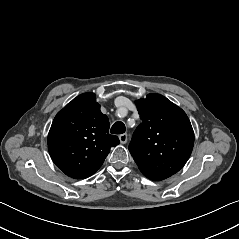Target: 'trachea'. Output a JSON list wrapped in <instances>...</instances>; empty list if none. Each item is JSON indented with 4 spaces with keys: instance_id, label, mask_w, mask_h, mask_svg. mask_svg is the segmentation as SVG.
Returning a JSON list of instances; mask_svg holds the SVG:
<instances>
[{
    "instance_id": "trachea-1",
    "label": "trachea",
    "mask_w": 239,
    "mask_h": 239,
    "mask_svg": "<svg viewBox=\"0 0 239 239\" xmlns=\"http://www.w3.org/2000/svg\"><path fill=\"white\" fill-rule=\"evenodd\" d=\"M125 131H126L125 124L121 121L114 123L110 130L112 134H123Z\"/></svg>"
}]
</instances>
